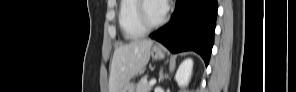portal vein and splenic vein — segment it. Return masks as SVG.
<instances>
[{"label":"portal vein and splenic vein","mask_w":296,"mask_h":92,"mask_svg":"<svg viewBox=\"0 0 296 92\" xmlns=\"http://www.w3.org/2000/svg\"><path fill=\"white\" fill-rule=\"evenodd\" d=\"M149 84H150L151 86L155 85V84H156V79H152V80L149 82Z\"/></svg>","instance_id":"portal-vein-and-splenic-vein-1"}]
</instances>
